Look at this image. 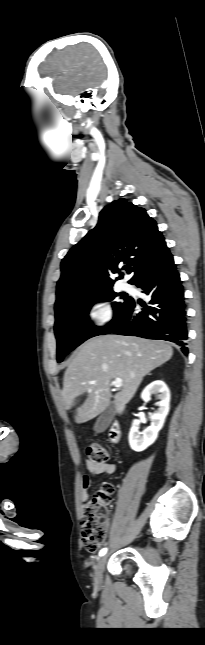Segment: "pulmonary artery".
I'll return each mask as SVG.
<instances>
[{
  "label": "pulmonary artery",
  "mask_w": 205,
  "mask_h": 645,
  "mask_svg": "<svg viewBox=\"0 0 205 645\" xmlns=\"http://www.w3.org/2000/svg\"><path fill=\"white\" fill-rule=\"evenodd\" d=\"M121 288H122L123 290H130V289H131V285H130L128 282H126L125 280H123V281L121 282Z\"/></svg>",
  "instance_id": "e3ab8cb5"
}]
</instances>
